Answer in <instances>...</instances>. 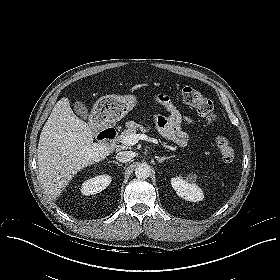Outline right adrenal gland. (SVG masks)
I'll return each instance as SVG.
<instances>
[{"mask_svg":"<svg viewBox=\"0 0 280 280\" xmlns=\"http://www.w3.org/2000/svg\"><path fill=\"white\" fill-rule=\"evenodd\" d=\"M111 163L117 164L118 166H122V164H120V163L117 162V161H113V162H111Z\"/></svg>","mask_w":280,"mask_h":280,"instance_id":"right-adrenal-gland-1","label":"right adrenal gland"}]
</instances>
